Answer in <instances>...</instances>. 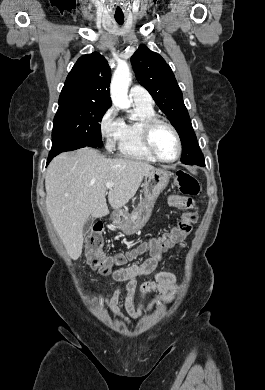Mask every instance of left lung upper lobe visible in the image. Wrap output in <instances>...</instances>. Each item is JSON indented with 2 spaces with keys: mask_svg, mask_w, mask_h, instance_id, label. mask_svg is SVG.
<instances>
[{
  "mask_svg": "<svg viewBox=\"0 0 265 390\" xmlns=\"http://www.w3.org/2000/svg\"><path fill=\"white\" fill-rule=\"evenodd\" d=\"M131 63L139 83L148 90L178 132L182 141L181 162L192 165L202 161L203 154L170 66L145 45L139 46L131 57Z\"/></svg>",
  "mask_w": 265,
  "mask_h": 390,
  "instance_id": "5c2ea615",
  "label": "left lung upper lobe"
}]
</instances>
